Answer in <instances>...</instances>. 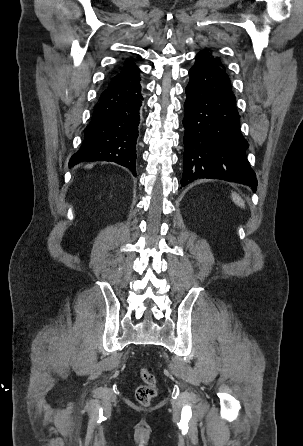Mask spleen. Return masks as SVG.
I'll return each mask as SVG.
<instances>
[{"mask_svg": "<svg viewBox=\"0 0 303 446\" xmlns=\"http://www.w3.org/2000/svg\"><path fill=\"white\" fill-rule=\"evenodd\" d=\"M232 200L233 202L240 206L241 208L245 207V202L244 200L241 198V196L239 194H237L236 192H232Z\"/></svg>", "mask_w": 303, "mask_h": 446, "instance_id": "spleen-1", "label": "spleen"}]
</instances>
